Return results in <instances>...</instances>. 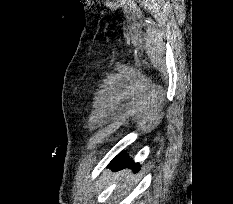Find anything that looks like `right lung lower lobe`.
I'll list each match as a JSON object with an SVG mask.
<instances>
[{"instance_id": "right-lung-lower-lobe-1", "label": "right lung lower lobe", "mask_w": 233, "mask_h": 204, "mask_svg": "<svg viewBox=\"0 0 233 204\" xmlns=\"http://www.w3.org/2000/svg\"><path fill=\"white\" fill-rule=\"evenodd\" d=\"M112 167L114 168V170H118L127 166H133L135 171L138 170V164H135L133 161H130L128 159V156L125 152H122L121 154H119L118 156H116L112 162Z\"/></svg>"}]
</instances>
